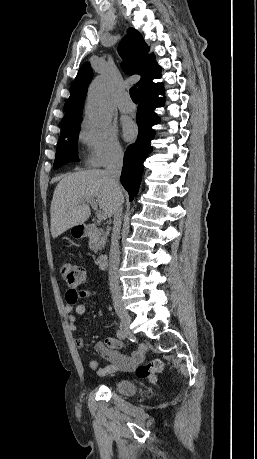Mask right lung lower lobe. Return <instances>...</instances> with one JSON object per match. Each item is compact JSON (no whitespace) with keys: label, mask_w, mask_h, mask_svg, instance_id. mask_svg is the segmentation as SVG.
Segmentation results:
<instances>
[{"label":"right lung lower lobe","mask_w":257,"mask_h":459,"mask_svg":"<svg viewBox=\"0 0 257 459\" xmlns=\"http://www.w3.org/2000/svg\"><path fill=\"white\" fill-rule=\"evenodd\" d=\"M160 77V76H159ZM158 77V78H159ZM140 103L137 109L136 122L139 127L137 141L131 144L124 155V165L121 173V183L127 190L130 201L138 192L143 172V162L152 151L150 141L154 137L152 126L158 122L154 109L163 105L164 98L157 95L163 94V84L151 82L140 92Z\"/></svg>","instance_id":"obj_1"}]
</instances>
